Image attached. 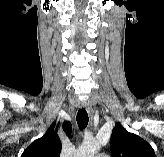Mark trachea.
Here are the masks:
<instances>
[{
  "label": "trachea",
  "mask_w": 164,
  "mask_h": 157,
  "mask_svg": "<svg viewBox=\"0 0 164 157\" xmlns=\"http://www.w3.org/2000/svg\"><path fill=\"white\" fill-rule=\"evenodd\" d=\"M76 119H77V123H78L79 128L81 130H83L87 126L88 121H89L88 114L84 108L80 109L78 111Z\"/></svg>",
  "instance_id": "trachea-1"
}]
</instances>
